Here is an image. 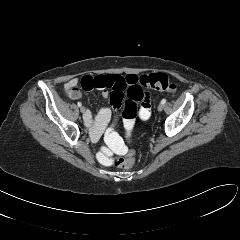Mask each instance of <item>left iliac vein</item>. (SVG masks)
Segmentation results:
<instances>
[{
	"label": "left iliac vein",
	"instance_id": "4c4485c4",
	"mask_svg": "<svg viewBox=\"0 0 240 240\" xmlns=\"http://www.w3.org/2000/svg\"><path fill=\"white\" fill-rule=\"evenodd\" d=\"M163 108H164V105H163V104H159L158 107H157L158 111H162Z\"/></svg>",
	"mask_w": 240,
	"mask_h": 240
}]
</instances>
